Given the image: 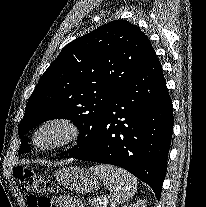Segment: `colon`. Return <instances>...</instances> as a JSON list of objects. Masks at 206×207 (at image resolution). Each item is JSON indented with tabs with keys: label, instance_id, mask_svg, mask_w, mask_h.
I'll return each mask as SVG.
<instances>
[{
	"label": "colon",
	"instance_id": "colon-1",
	"mask_svg": "<svg viewBox=\"0 0 206 207\" xmlns=\"http://www.w3.org/2000/svg\"><path fill=\"white\" fill-rule=\"evenodd\" d=\"M14 175L19 181L22 191L27 195L29 207H53L45 195L49 191H57L49 181L25 167H16Z\"/></svg>",
	"mask_w": 206,
	"mask_h": 207
}]
</instances>
